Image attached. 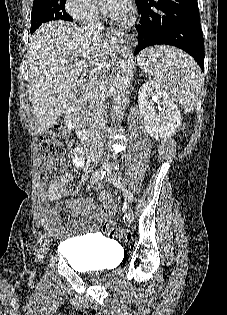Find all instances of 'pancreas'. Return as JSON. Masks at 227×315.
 <instances>
[{"label": "pancreas", "instance_id": "1", "mask_svg": "<svg viewBox=\"0 0 227 315\" xmlns=\"http://www.w3.org/2000/svg\"><path fill=\"white\" fill-rule=\"evenodd\" d=\"M96 94H97L96 91H94V93L92 95L88 94L87 101L90 103V106L86 109V111L84 112V115H83V121L85 123L89 122L90 116H92V114L90 113V110L92 109L93 100H94Z\"/></svg>", "mask_w": 227, "mask_h": 315}]
</instances>
